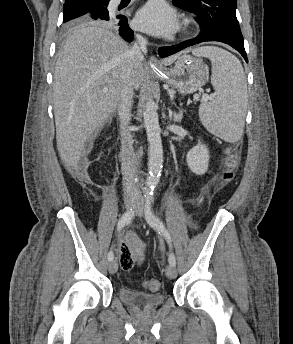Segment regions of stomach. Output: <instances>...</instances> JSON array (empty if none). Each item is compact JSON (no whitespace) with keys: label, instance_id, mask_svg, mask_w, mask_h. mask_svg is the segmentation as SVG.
Returning a JSON list of instances; mask_svg holds the SVG:
<instances>
[{"label":"stomach","instance_id":"obj_1","mask_svg":"<svg viewBox=\"0 0 293 344\" xmlns=\"http://www.w3.org/2000/svg\"><path fill=\"white\" fill-rule=\"evenodd\" d=\"M159 76L180 93L190 94L206 83L208 70L201 59L182 54L172 68L162 70Z\"/></svg>","mask_w":293,"mask_h":344}]
</instances>
